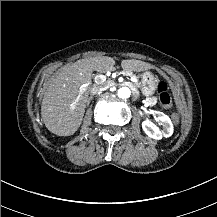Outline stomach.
Instances as JSON below:
<instances>
[{
	"mask_svg": "<svg viewBox=\"0 0 217 217\" xmlns=\"http://www.w3.org/2000/svg\"><path fill=\"white\" fill-rule=\"evenodd\" d=\"M158 86V80L150 71H145L141 75V92L144 96H151L155 93Z\"/></svg>",
	"mask_w": 217,
	"mask_h": 217,
	"instance_id": "stomach-1",
	"label": "stomach"
}]
</instances>
